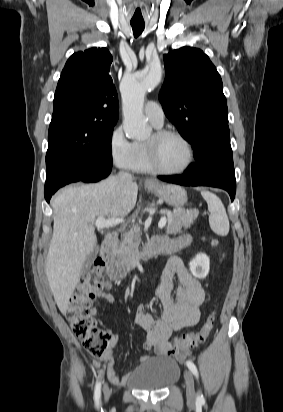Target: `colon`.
Listing matches in <instances>:
<instances>
[{"instance_id":"colon-1","label":"colon","mask_w":283,"mask_h":412,"mask_svg":"<svg viewBox=\"0 0 283 412\" xmlns=\"http://www.w3.org/2000/svg\"><path fill=\"white\" fill-rule=\"evenodd\" d=\"M212 244L217 246L218 242L213 241ZM103 274L104 264L97 259L69 297L65 307V314L73 335L82 342L93 357L97 358L105 355L113 337L110 331L97 323L92 313V302L104 280ZM215 319L216 306L213 307L199 331L174 339L175 350L185 352L203 344L214 327Z\"/></svg>"}]
</instances>
